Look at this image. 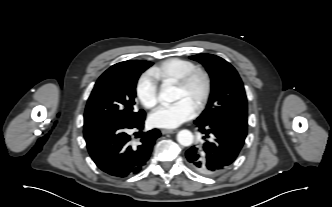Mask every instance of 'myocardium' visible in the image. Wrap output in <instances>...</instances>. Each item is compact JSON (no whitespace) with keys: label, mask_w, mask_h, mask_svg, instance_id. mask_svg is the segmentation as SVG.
Segmentation results:
<instances>
[{"label":"myocardium","mask_w":332,"mask_h":207,"mask_svg":"<svg viewBox=\"0 0 332 207\" xmlns=\"http://www.w3.org/2000/svg\"><path fill=\"white\" fill-rule=\"evenodd\" d=\"M199 79L202 81V86L194 104L197 110L205 106L211 93L212 80L209 72L201 67H195L175 82L179 88L189 93Z\"/></svg>","instance_id":"1"}]
</instances>
